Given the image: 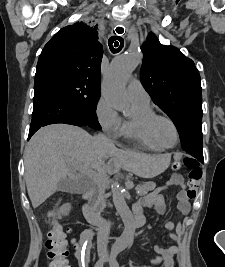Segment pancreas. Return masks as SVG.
<instances>
[{
    "mask_svg": "<svg viewBox=\"0 0 225 267\" xmlns=\"http://www.w3.org/2000/svg\"><path fill=\"white\" fill-rule=\"evenodd\" d=\"M155 187H156V184L154 182H147L143 185H138L136 187V191L139 196H144L148 194L149 191L154 190Z\"/></svg>",
    "mask_w": 225,
    "mask_h": 267,
    "instance_id": "pancreas-1",
    "label": "pancreas"
}]
</instances>
